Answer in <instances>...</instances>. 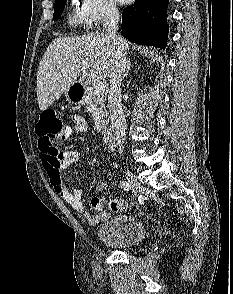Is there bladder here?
Segmentation results:
<instances>
[{
  "instance_id": "obj_1",
  "label": "bladder",
  "mask_w": 233,
  "mask_h": 294,
  "mask_svg": "<svg viewBox=\"0 0 233 294\" xmlns=\"http://www.w3.org/2000/svg\"><path fill=\"white\" fill-rule=\"evenodd\" d=\"M97 237L105 246L128 250L143 243L148 237V230L139 219L130 215H118L98 227Z\"/></svg>"
}]
</instances>
